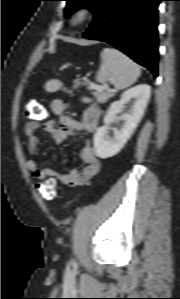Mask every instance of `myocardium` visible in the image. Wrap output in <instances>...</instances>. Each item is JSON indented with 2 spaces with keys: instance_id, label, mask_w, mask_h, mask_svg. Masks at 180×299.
Instances as JSON below:
<instances>
[{
  "instance_id": "myocardium-1",
  "label": "myocardium",
  "mask_w": 180,
  "mask_h": 299,
  "mask_svg": "<svg viewBox=\"0 0 180 299\" xmlns=\"http://www.w3.org/2000/svg\"><path fill=\"white\" fill-rule=\"evenodd\" d=\"M93 10L88 5H80L74 9L70 16V23L73 27H82L92 17Z\"/></svg>"
}]
</instances>
